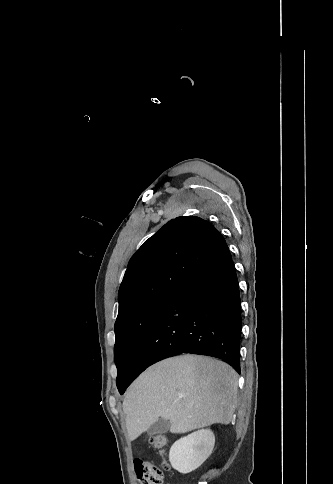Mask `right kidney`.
Listing matches in <instances>:
<instances>
[{"instance_id":"ca27d5eb","label":"right kidney","mask_w":333,"mask_h":484,"mask_svg":"<svg viewBox=\"0 0 333 484\" xmlns=\"http://www.w3.org/2000/svg\"><path fill=\"white\" fill-rule=\"evenodd\" d=\"M215 436L210 429L196 431L177 440L171 447L169 460L180 473H190L199 468L211 455Z\"/></svg>"}]
</instances>
